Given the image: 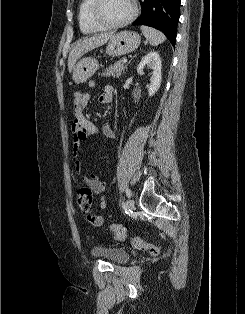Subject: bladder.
I'll return each instance as SVG.
<instances>
[{"label":"bladder","instance_id":"1","mask_svg":"<svg viewBox=\"0 0 245 314\" xmlns=\"http://www.w3.org/2000/svg\"><path fill=\"white\" fill-rule=\"evenodd\" d=\"M92 255L97 258H103L115 264L125 263L129 259V253L120 247H107L96 245L92 248Z\"/></svg>","mask_w":245,"mask_h":314}]
</instances>
